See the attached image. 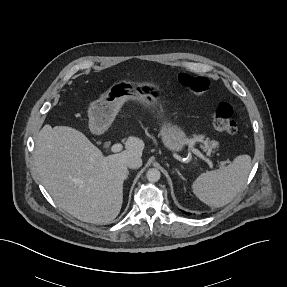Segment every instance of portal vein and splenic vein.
<instances>
[{"mask_svg":"<svg viewBox=\"0 0 287 287\" xmlns=\"http://www.w3.org/2000/svg\"><path fill=\"white\" fill-rule=\"evenodd\" d=\"M122 149L123 146L120 143H116L111 147V151L114 153L120 152ZM190 151L195 155H197L198 157H200L201 159H203L211 168L213 167V162L208 157H206L201 151L193 147L190 148Z\"/></svg>","mask_w":287,"mask_h":287,"instance_id":"18ae733b","label":"portal vein and splenic vein"}]
</instances>
